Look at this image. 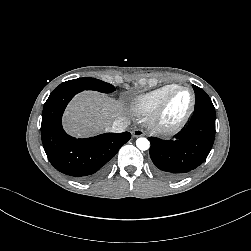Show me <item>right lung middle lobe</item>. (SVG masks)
<instances>
[{
    "label": "right lung middle lobe",
    "instance_id": "dd1d6c3e",
    "mask_svg": "<svg viewBox=\"0 0 251 251\" xmlns=\"http://www.w3.org/2000/svg\"><path fill=\"white\" fill-rule=\"evenodd\" d=\"M95 90L102 93H111L115 90L114 86L95 78H78L60 84L52 93L59 91Z\"/></svg>",
    "mask_w": 251,
    "mask_h": 251
}]
</instances>
